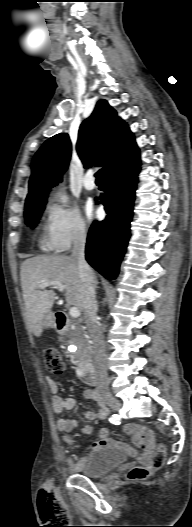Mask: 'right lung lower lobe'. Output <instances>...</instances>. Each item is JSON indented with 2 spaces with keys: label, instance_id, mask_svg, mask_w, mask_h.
<instances>
[{
  "label": "right lung lower lobe",
  "instance_id": "1",
  "mask_svg": "<svg viewBox=\"0 0 192 527\" xmlns=\"http://www.w3.org/2000/svg\"><path fill=\"white\" fill-rule=\"evenodd\" d=\"M140 171L139 149L105 173V193L100 202L106 218L95 221L88 233L86 260L107 279H115L130 237L133 202Z\"/></svg>",
  "mask_w": 192,
  "mask_h": 527
}]
</instances>
